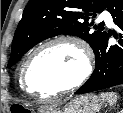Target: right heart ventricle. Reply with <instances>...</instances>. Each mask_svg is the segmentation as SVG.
I'll return each instance as SVG.
<instances>
[{"instance_id":"obj_1","label":"right heart ventricle","mask_w":123,"mask_h":113,"mask_svg":"<svg viewBox=\"0 0 123 113\" xmlns=\"http://www.w3.org/2000/svg\"><path fill=\"white\" fill-rule=\"evenodd\" d=\"M22 72V71H21ZM21 72L19 74V82L21 83Z\"/></svg>"}]
</instances>
